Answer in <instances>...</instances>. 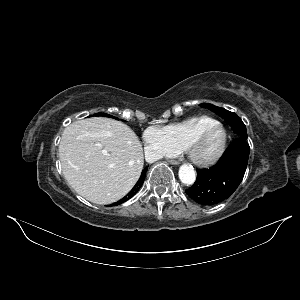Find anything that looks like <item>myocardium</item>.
Instances as JSON below:
<instances>
[{
  "label": "myocardium",
  "mask_w": 300,
  "mask_h": 300,
  "mask_svg": "<svg viewBox=\"0 0 300 300\" xmlns=\"http://www.w3.org/2000/svg\"><path fill=\"white\" fill-rule=\"evenodd\" d=\"M219 131V141L215 150L207 157H201L198 155V149L202 142L210 136L213 132ZM227 144V131L225 127L215 122L211 126L203 129L197 135H195L186 146V152L190 161L196 166L207 167L216 163L223 155Z\"/></svg>",
  "instance_id": "obj_1"
}]
</instances>
